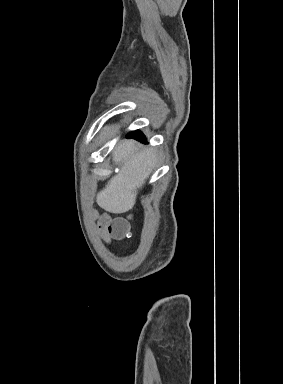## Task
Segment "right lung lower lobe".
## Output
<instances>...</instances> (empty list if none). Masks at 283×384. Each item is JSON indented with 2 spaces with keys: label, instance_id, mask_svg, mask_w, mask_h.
<instances>
[{
  "label": "right lung lower lobe",
  "instance_id": "obj_1",
  "mask_svg": "<svg viewBox=\"0 0 283 384\" xmlns=\"http://www.w3.org/2000/svg\"><path fill=\"white\" fill-rule=\"evenodd\" d=\"M127 138H135L137 140H140L142 142H146L144 135L140 131H134L127 135Z\"/></svg>",
  "mask_w": 283,
  "mask_h": 384
}]
</instances>
